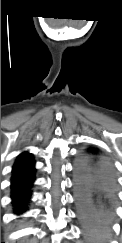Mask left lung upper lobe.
Here are the masks:
<instances>
[{"instance_id":"obj_1","label":"left lung upper lobe","mask_w":122,"mask_h":243,"mask_svg":"<svg viewBox=\"0 0 122 243\" xmlns=\"http://www.w3.org/2000/svg\"><path fill=\"white\" fill-rule=\"evenodd\" d=\"M90 152V149H86L84 153L88 154Z\"/></svg>"}]
</instances>
